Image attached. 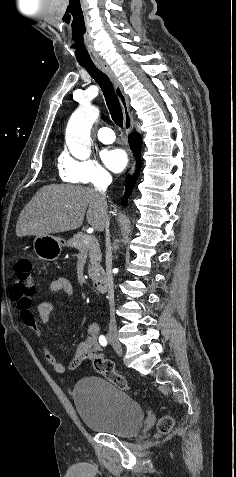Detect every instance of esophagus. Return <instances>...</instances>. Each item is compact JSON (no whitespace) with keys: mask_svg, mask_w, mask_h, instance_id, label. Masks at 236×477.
<instances>
[{"mask_svg":"<svg viewBox=\"0 0 236 477\" xmlns=\"http://www.w3.org/2000/svg\"><path fill=\"white\" fill-rule=\"evenodd\" d=\"M98 68L104 72L112 81L114 85V89L116 92V95L118 97V100L120 102L123 115H124V128L127 134H130L133 130V121H132V116L130 113V108H129V101L128 97L123 91V87L121 83L119 82L118 78L114 74V72L111 70V68L105 64H97ZM134 171V163L131 168V173Z\"/></svg>","mask_w":236,"mask_h":477,"instance_id":"esophagus-1","label":"esophagus"}]
</instances>
